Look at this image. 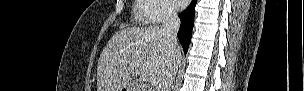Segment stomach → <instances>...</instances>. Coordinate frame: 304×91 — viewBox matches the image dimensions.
Wrapping results in <instances>:
<instances>
[{
    "label": "stomach",
    "mask_w": 304,
    "mask_h": 91,
    "mask_svg": "<svg viewBox=\"0 0 304 91\" xmlns=\"http://www.w3.org/2000/svg\"><path fill=\"white\" fill-rule=\"evenodd\" d=\"M122 90H125V91H135V90H133V88L131 87V86H128V85H126L125 87H123L122 89H121V91Z\"/></svg>",
    "instance_id": "1"
}]
</instances>
